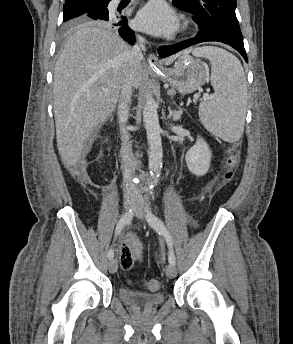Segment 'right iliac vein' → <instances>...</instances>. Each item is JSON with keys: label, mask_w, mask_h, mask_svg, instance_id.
<instances>
[{"label": "right iliac vein", "mask_w": 293, "mask_h": 344, "mask_svg": "<svg viewBox=\"0 0 293 344\" xmlns=\"http://www.w3.org/2000/svg\"><path fill=\"white\" fill-rule=\"evenodd\" d=\"M125 209L130 210L136 207V202L132 200H127L124 203ZM118 269V261L116 259H111L109 262V271L110 273H115Z\"/></svg>", "instance_id": "obj_1"}]
</instances>
